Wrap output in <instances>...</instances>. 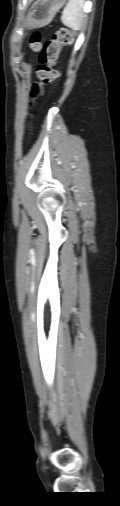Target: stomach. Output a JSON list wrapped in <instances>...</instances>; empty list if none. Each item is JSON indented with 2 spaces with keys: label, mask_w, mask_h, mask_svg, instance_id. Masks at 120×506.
<instances>
[{
  "label": "stomach",
  "mask_w": 120,
  "mask_h": 506,
  "mask_svg": "<svg viewBox=\"0 0 120 506\" xmlns=\"http://www.w3.org/2000/svg\"><path fill=\"white\" fill-rule=\"evenodd\" d=\"M66 0H36L30 7L26 19L28 28L42 27L52 21Z\"/></svg>",
  "instance_id": "1"
}]
</instances>
